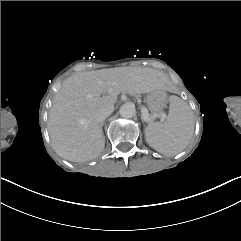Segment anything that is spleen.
Masks as SVG:
<instances>
[{
  "label": "spleen",
  "mask_w": 241,
  "mask_h": 241,
  "mask_svg": "<svg viewBox=\"0 0 241 241\" xmlns=\"http://www.w3.org/2000/svg\"><path fill=\"white\" fill-rule=\"evenodd\" d=\"M168 109L167 121L149 124L145 129V138L157 152L174 156L189 144L194 131V118L189 105L180 97L171 98Z\"/></svg>",
  "instance_id": "spleen-1"
}]
</instances>
